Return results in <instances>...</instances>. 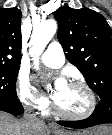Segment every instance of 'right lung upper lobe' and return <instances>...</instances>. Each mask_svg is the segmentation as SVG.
Segmentation results:
<instances>
[{
    "label": "right lung upper lobe",
    "instance_id": "right-lung-upper-lobe-1",
    "mask_svg": "<svg viewBox=\"0 0 112 135\" xmlns=\"http://www.w3.org/2000/svg\"><path fill=\"white\" fill-rule=\"evenodd\" d=\"M21 11L0 9V63L21 62Z\"/></svg>",
    "mask_w": 112,
    "mask_h": 135
}]
</instances>
